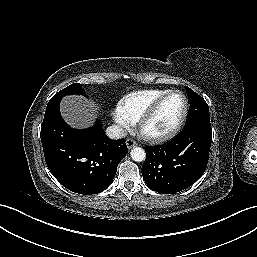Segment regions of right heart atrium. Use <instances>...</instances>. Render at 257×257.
Wrapping results in <instances>:
<instances>
[{
    "label": "right heart atrium",
    "mask_w": 257,
    "mask_h": 257,
    "mask_svg": "<svg viewBox=\"0 0 257 257\" xmlns=\"http://www.w3.org/2000/svg\"><path fill=\"white\" fill-rule=\"evenodd\" d=\"M112 116L118 129L122 133L129 131L133 126V122L129 119V117L124 113V111L119 106H117L113 110Z\"/></svg>",
    "instance_id": "1"
}]
</instances>
